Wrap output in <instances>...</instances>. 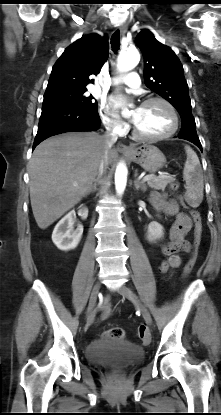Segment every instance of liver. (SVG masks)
<instances>
[{
    "instance_id": "6515ba94",
    "label": "liver",
    "mask_w": 221,
    "mask_h": 415,
    "mask_svg": "<svg viewBox=\"0 0 221 415\" xmlns=\"http://www.w3.org/2000/svg\"><path fill=\"white\" fill-rule=\"evenodd\" d=\"M103 155V138L96 132L64 133L36 147L29 162V186L39 228H48L89 194ZM117 156L111 148L107 163Z\"/></svg>"
}]
</instances>
